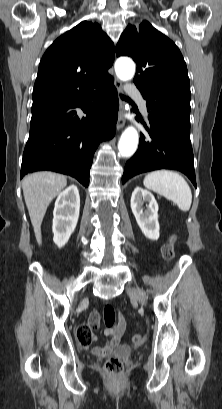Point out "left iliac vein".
Wrapping results in <instances>:
<instances>
[{"label": "left iliac vein", "mask_w": 222, "mask_h": 409, "mask_svg": "<svg viewBox=\"0 0 222 409\" xmlns=\"http://www.w3.org/2000/svg\"><path fill=\"white\" fill-rule=\"evenodd\" d=\"M127 293L132 299L139 300L142 304L146 303L145 296L141 290L136 288H128Z\"/></svg>", "instance_id": "obj_1"}]
</instances>
